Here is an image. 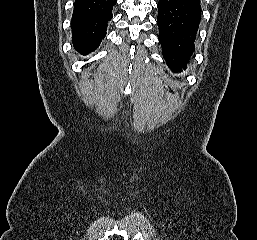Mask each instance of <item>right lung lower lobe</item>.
Wrapping results in <instances>:
<instances>
[{
  "label": "right lung lower lobe",
  "instance_id": "98d812e1",
  "mask_svg": "<svg viewBox=\"0 0 257 240\" xmlns=\"http://www.w3.org/2000/svg\"><path fill=\"white\" fill-rule=\"evenodd\" d=\"M117 0H75L71 20L74 48L86 55L98 48Z\"/></svg>",
  "mask_w": 257,
  "mask_h": 240
}]
</instances>
